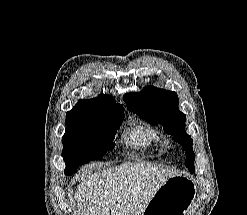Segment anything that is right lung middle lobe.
Instances as JSON below:
<instances>
[{"instance_id": "right-lung-middle-lobe-1", "label": "right lung middle lobe", "mask_w": 247, "mask_h": 215, "mask_svg": "<svg viewBox=\"0 0 247 215\" xmlns=\"http://www.w3.org/2000/svg\"><path fill=\"white\" fill-rule=\"evenodd\" d=\"M122 121L123 113L91 111L78 104L67 112L62 138L65 174H73L82 164L100 159L111 150Z\"/></svg>"}]
</instances>
